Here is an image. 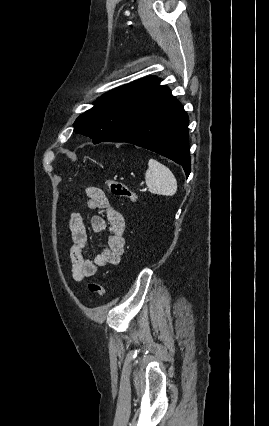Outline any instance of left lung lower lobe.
<instances>
[{
	"label": "left lung lower lobe",
	"instance_id": "0a47b994",
	"mask_svg": "<svg viewBox=\"0 0 269 426\" xmlns=\"http://www.w3.org/2000/svg\"><path fill=\"white\" fill-rule=\"evenodd\" d=\"M188 115L181 103L156 78L135 93L116 127L102 142H127L165 156L191 171Z\"/></svg>",
	"mask_w": 269,
	"mask_h": 426
}]
</instances>
